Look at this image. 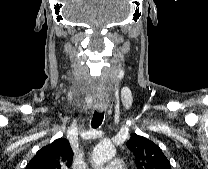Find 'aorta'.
I'll return each instance as SVG.
<instances>
[{
	"label": "aorta",
	"instance_id": "aorta-1",
	"mask_svg": "<svg viewBox=\"0 0 208 169\" xmlns=\"http://www.w3.org/2000/svg\"><path fill=\"white\" fill-rule=\"evenodd\" d=\"M115 148L110 142L99 143L93 150L92 160L97 168L111 160L115 156Z\"/></svg>",
	"mask_w": 208,
	"mask_h": 169
}]
</instances>
